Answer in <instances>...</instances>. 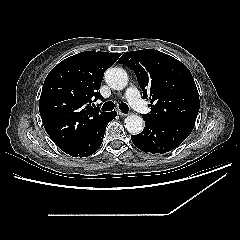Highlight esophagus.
<instances>
[{
	"label": "esophagus",
	"mask_w": 240,
	"mask_h": 240,
	"mask_svg": "<svg viewBox=\"0 0 240 240\" xmlns=\"http://www.w3.org/2000/svg\"><path fill=\"white\" fill-rule=\"evenodd\" d=\"M117 113L120 115V116H122V117H124V116H126L127 114L126 113H124V112H122V111H117Z\"/></svg>",
	"instance_id": "34e87169"
}]
</instances>
